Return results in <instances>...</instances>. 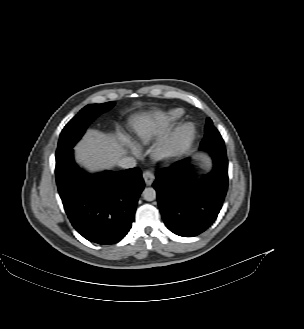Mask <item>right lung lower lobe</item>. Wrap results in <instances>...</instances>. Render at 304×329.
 <instances>
[{
  "label": "right lung lower lobe",
  "instance_id": "98d812e1",
  "mask_svg": "<svg viewBox=\"0 0 304 329\" xmlns=\"http://www.w3.org/2000/svg\"><path fill=\"white\" fill-rule=\"evenodd\" d=\"M55 175L66 214L84 238L108 245L125 237L144 189L138 168L91 175L75 164L71 149L56 157Z\"/></svg>",
  "mask_w": 304,
  "mask_h": 329
}]
</instances>
